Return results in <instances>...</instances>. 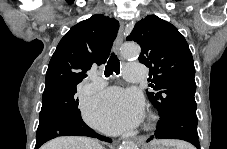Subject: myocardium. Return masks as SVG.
I'll use <instances>...</instances> for the list:
<instances>
[{
	"label": "myocardium",
	"mask_w": 227,
	"mask_h": 149,
	"mask_svg": "<svg viewBox=\"0 0 227 149\" xmlns=\"http://www.w3.org/2000/svg\"><path fill=\"white\" fill-rule=\"evenodd\" d=\"M151 119L153 120L154 119V117H151ZM151 124H149V126H150Z\"/></svg>",
	"instance_id": "myocardium-1"
}]
</instances>
